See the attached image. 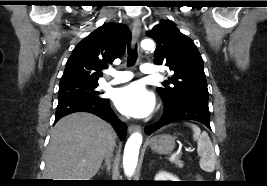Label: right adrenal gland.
Instances as JSON below:
<instances>
[{
  "mask_svg": "<svg viewBox=\"0 0 267 186\" xmlns=\"http://www.w3.org/2000/svg\"><path fill=\"white\" fill-rule=\"evenodd\" d=\"M106 168L107 172L111 170V159L110 156H107L105 159V163L101 166V169Z\"/></svg>",
  "mask_w": 267,
  "mask_h": 186,
  "instance_id": "1",
  "label": "right adrenal gland"
}]
</instances>
